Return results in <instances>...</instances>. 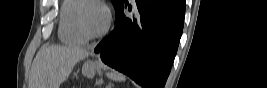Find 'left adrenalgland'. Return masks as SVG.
Masks as SVG:
<instances>
[{
    "mask_svg": "<svg viewBox=\"0 0 267 88\" xmlns=\"http://www.w3.org/2000/svg\"><path fill=\"white\" fill-rule=\"evenodd\" d=\"M106 88H111V84H108V85L106 86Z\"/></svg>",
    "mask_w": 267,
    "mask_h": 88,
    "instance_id": "left-adrenal-gland-1",
    "label": "left adrenal gland"
}]
</instances>
